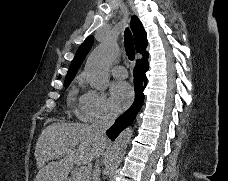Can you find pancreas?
<instances>
[{"instance_id": "obj_1", "label": "pancreas", "mask_w": 228, "mask_h": 181, "mask_svg": "<svg viewBox=\"0 0 228 181\" xmlns=\"http://www.w3.org/2000/svg\"><path fill=\"white\" fill-rule=\"evenodd\" d=\"M78 177H80V169H73L72 173H71V177H69V179H67V181H89V177H86V175H81V177H83V179H78ZM86 177V179H85Z\"/></svg>"}]
</instances>
